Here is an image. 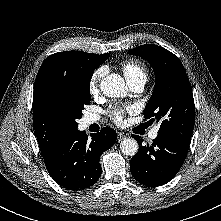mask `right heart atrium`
I'll use <instances>...</instances> for the list:
<instances>
[{
  "mask_svg": "<svg viewBox=\"0 0 221 221\" xmlns=\"http://www.w3.org/2000/svg\"><path fill=\"white\" fill-rule=\"evenodd\" d=\"M106 74L104 67H98L93 71L88 83V91L91 95H95L99 91L100 83Z\"/></svg>",
  "mask_w": 221,
  "mask_h": 221,
  "instance_id": "obj_1",
  "label": "right heart atrium"
}]
</instances>
